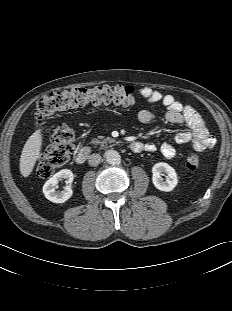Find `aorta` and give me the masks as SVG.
<instances>
[{"mask_svg":"<svg viewBox=\"0 0 232 311\" xmlns=\"http://www.w3.org/2000/svg\"><path fill=\"white\" fill-rule=\"evenodd\" d=\"M104 157L106 162L111 165L119 164L121 162V156L116 150H107Z\"/></svg>","mask_w":232,"mask_h":311,"instance_id":"762f6f07","label":"aorta"}]
</instances>
